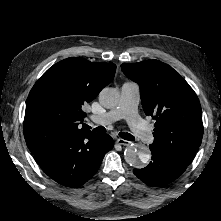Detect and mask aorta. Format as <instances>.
<instances>
[{
  "instance_id": "1",
  "label": "aorta",
  "mask_w": 221,
  "mask_h": 221,
  "mask_svg": "<svg viewBox=\"0 0 221 221\" xmlns=\"http://www.w3.org/2000/svg\"><path fill=\"white\" fill-rule=\"evenodd\" d=\"M120 99L119 92L114 88H104L99 94L100 104L107 108H114ZM125 161L133 167L141 168L150 159V152L143 144H130L124 151Z\"/></svg>"
}]
</instances>
